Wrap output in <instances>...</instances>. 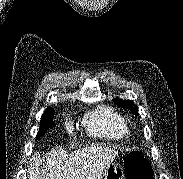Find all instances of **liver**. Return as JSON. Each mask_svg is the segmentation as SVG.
Wrapping results in <instances>:
<instances>
[{
    "label": "liver",
    "mask_w": 183,
    "mask_h": 179,
    "mask_svg": "<svg viewBox=\"0 0 183 179\" xmlns=\"http://www.w3.org/2000/svg\"><path fill=\"white\" fill-rule=\"evenodd\" d=\"M117 156V150L101 146L84 147L71 153L54 148L44 160L34 153L28 179H101Z\"/></svg>",
    "instance_id": "liver-1"
}]
</instances>
